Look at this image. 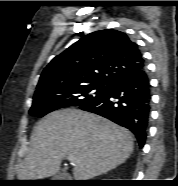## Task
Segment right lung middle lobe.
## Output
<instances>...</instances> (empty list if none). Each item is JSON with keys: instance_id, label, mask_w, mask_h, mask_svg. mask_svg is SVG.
Here are the masks:
<instances>
[{"instance_id": "obj_1", "label": "right lung middle lobe", "mask_w": 178, "mask_h": 186, "mask_svg": "<svg viewBox=\"0 0 178 186\" xmlns=\"http://www.w3.org/2000/svg\"><path fill=\"white\" fill-rule=\"evenodd\" d=\"M109 84L92 83L71 88L40 91L35 93L30 115L43 117L57 109L83 106L108 89Z\"/></svg>"}]
</instances>
